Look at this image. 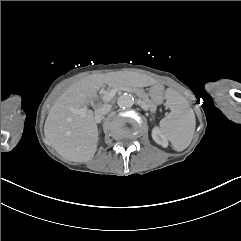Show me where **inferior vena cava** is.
<instances>
[{"label":"inferior vena cava","mask_w":241,"mask_h":241,"mask_svg":"<svg viewBox=\"0 0 241 241\" xmlns=\"http://www.w3.org/2000/svg\"><path fill=\"white\" fill-rule=\"evenodd\" d=\"M112 105L110 104H105L104 106L100 107L95 111V122L100 123L102 121L103 115L107 114Z\"/></svg>","instance_id":"obj_1"}]
</instances>
